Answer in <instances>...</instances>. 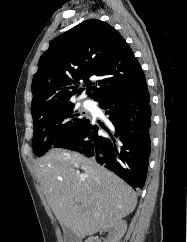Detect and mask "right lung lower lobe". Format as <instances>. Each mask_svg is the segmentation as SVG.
Returning <instances> with one entry per match:
<instances>
[{
    "label": "right lung lower lobe",
    "mask_w": 187,
    "mask_h": 242,
    "mask_svg": "<svg viewBox=\"0 0 187 242\" xmlns=\"http://www.w3.org/2000/svg\"><path fill=\"white\" fill-rule=\"evenodd\" d=\"M112 124L99 134L87 119L53 147L77 151L113 171L133 188L142 189L151 151V106L146 79L98 100Z\"/></svg>",
    "instance_id": "right-lung-lower-lobe-1"
}]
</instances>
